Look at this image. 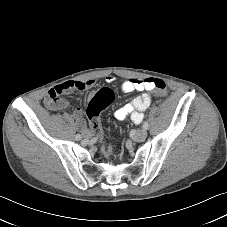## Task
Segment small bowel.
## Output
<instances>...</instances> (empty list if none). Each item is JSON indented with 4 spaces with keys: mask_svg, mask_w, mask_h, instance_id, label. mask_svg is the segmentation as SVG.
Segmentation results:
<instances>
[{
    "mask_svg": "<svg viewBox=\"0 0 227 227\" xmlns=\"http://www.w3.org/2000/svg\"><path fill=\"white\" fill-rule=\"evenodd\" d=\"M115 81L114 76H107L106 82L112 83ZM76 84H81L82 86L77 88ZM96 84L95 80L89 79L86 81H67L64 82L52 90L49 91L45 102L48 106L55 109H64L68 107V102L62 98H60L61 94L68 93L73 89H78L80 91H84L94 87ZM121 89L124 93H131L134 91L143 92L141 95L134 97L130 102L123 105L119 109H117L113 116L116 120H124L125 118H130L132 122L135 124H139L144 119V112L151 104V97L147 91L153 89V79L146 78V79H137V78H130L125 80L122 85ZM51 93H56L57 98L52 99ZM73 117L77 122L78 127L81 129L82 133L89 131L85 121L82 119V110L80 108H76L73 111Z\"/></svg>",
    "mask_w": 227,
    "mask_h": 227,
    "instance_id": "small-bowel-1",
    "label": "small bowel"
}]
</instances>
